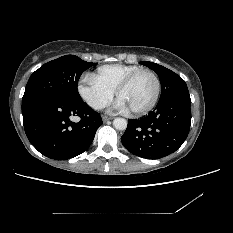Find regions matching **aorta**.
Returning a JSON list of instances; mask_svg holds the SVG:
<instances>
[{
  "label": "aorta",
  "mask_w": 233,
  "mask_h": 233,
  "mask_svg": "<svg viewBox=\"0 0 233 233\" xmlns=\"http://www.w3.org/2000/svg\"><path fill=\"white\" fill-rule=\"evenodd\" d=\"M113 126L117 130H125L127 128V121L124 118H115Z\"/></svg>",
  "instance_id": "obj_1"
}]
</instances>
